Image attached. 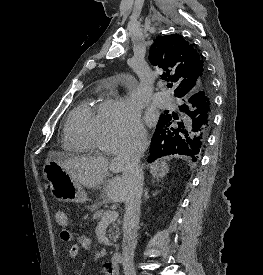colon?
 Here are the masks:
<instances>
[{
  "label": "colon",
  "instance_id": "1",
  "mask_svg": "<svg viewBox=\"0 0 263 275\" xmlns=\"http://www.w3.org/2000/svg\"><path fill=\"white\" fill-rule=\"evenodd\" d=\"M55 219H56L57 224L60 225L61 227H66L69 223L67 213L62 209L57 210V212L55 214ZM62 237L65 240H69L70 234H69L68 230L62 231Z\"/></svg>",
  "mask_w": 263,
  "mask_h": 275
}]
</instances>
